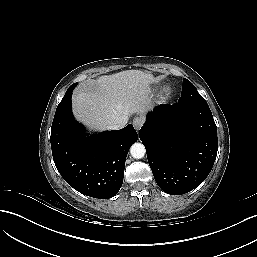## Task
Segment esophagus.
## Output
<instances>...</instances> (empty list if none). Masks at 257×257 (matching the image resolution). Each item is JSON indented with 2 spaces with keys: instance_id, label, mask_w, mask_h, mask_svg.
<instances>
[{
  "instance_id": "obj_1",
  "label": "esophagus",
  "mask_w": 257,
  "mask_h": 257,
  "mask_svg": "<svg viewBox=\"0 0 257 257\" xmlns=\"http://www.w3.org/2000/svg\"><path fill=\"white\" fill-rule=\"evenodd\" d=\"M143 123H144V121H143V119H142L141 117H135V118L133 119V122H132L134 128H135L137 131L140 130V128L142 127Z\"/></svg>"
}]
</instances>
